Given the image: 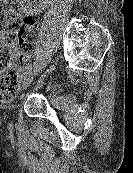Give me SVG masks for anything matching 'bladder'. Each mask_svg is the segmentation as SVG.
I'll list each match as a JSON object with an SVG mask.
<instances>
[{
    "label": "bladder",
    "mask_w": 133,
    "mask_h": 173,
    "mask_svg": "<svg viewBox=\"0 0 133 173\" xmlns=\"http://www.w3.org/2000/svg\"><path fill=\"white\" fill-rule=\"evenodd\" d=\"M41 92L48 100L54 101L58 98L61 88L56 81L50 80L42 86Z\"/></svg>",
    "instance_id": "obj_1"
}]
</instances>
